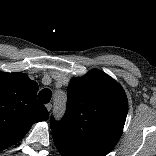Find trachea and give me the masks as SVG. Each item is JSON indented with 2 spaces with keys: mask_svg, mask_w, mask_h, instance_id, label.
I'll return each instance as SVG.
<instances>
[{
  "mask_svg": "<svg viewBox=\"0 0 156 156\" xmlns=\"http://www.w3.org/2000/svg\"><path fill=\"white\" fill-rule=\"evenodd\" d=\"M51 97L52 92L50 89H43L38 94V99L44 104H47L50 101Z\"/></svg>",
  "mask_w": 156,
  "mask_h": 156,
  "instance_id": "3493384b",
  "label": "trachea"
}]
</instances>
